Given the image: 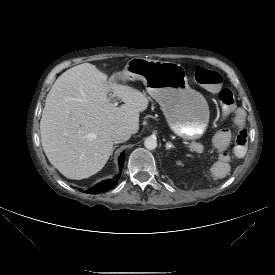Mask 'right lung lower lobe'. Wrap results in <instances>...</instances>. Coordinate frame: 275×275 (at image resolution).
Instances as JSON below:
<instances>
[{"instance_id": "98d812e1", "label": "right lung lower lobe", "mask_w": 275, "mask_h": 275, "mask_svg": "<svg viewBox=\"0 0 275 275\" xmlns=\"http://www.w3.org/2000/svg\"><path fill=\"white\" fill-rule=\"evenodd\" d=\"M124 152L120 155L118 161H119V165L120 168L122 169L124 166ZM119 178V176H117L115 179H110V180H106L103 181L97 185H95L93 188L86 190V193L89 194H99V193H103L105 191H108L110 189H112L116 184H117V179ZM82 191V190H81Z\"/></svg>"}]
</instances>
